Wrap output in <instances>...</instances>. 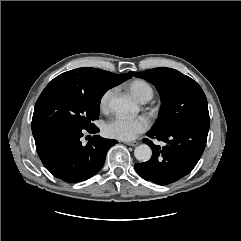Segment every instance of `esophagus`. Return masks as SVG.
<instances>
[{
    "mask_svg": "<svg viewBox=\"0 0 241 241\" xmlns=\"http://www.w3.org/2000/svg\"><path fill=\"white\" fill-rule=\"evenodd\" d=\"M124 143L129 146H137L138 145L137 141H125Z\"/></svg>",
    "mask_w": 241,
    "mask_h": 241,
    "instance_id": "34e87169",
    "label": "esophagus"
}]
</instances>
